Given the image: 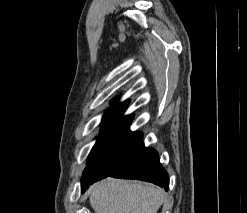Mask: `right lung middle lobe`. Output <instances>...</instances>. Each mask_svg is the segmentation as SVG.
<instances>
[{
	"label": "right lung middle lobe",
	"instance_id": "1",
	"mask_svg": "<svg viewBox=\"0 0 247 213\" xmlns=\"http://www.w3.org/2000/svg\"><path fill=\"white\" fill-rule=\"evenodd\" d=\"M125 110H117L105 114L101 133L89 154L87 167L81 180V187L99 174V163L113 149L127 125L129 116H123Z\"/></svg>",
	"mask_w": 247,
	"mask_h": 213
}]
</instances>
